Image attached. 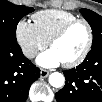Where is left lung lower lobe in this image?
<instances>
[{
	"label": "left lung lower lobe",
	"instance_id": "0a47b994",
	"mask_svg": "<svg viewBox=\"0 0 102 102\" xmlns=\"http://www.w3.org/2000/svg\"><path fill=\"white\" fill-rule=\"evenodd\" d=\"M64 75L65 86L55 94L58 102H102V46L93 47L77 68Z\"/></svg>",
	"mask_w": 102,
	"mask_h": 102
}]
</instances>
